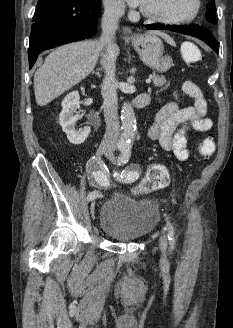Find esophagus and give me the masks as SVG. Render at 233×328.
I'll return each instance as SVG.
<instances>
[{
	"mask_svg": "<svg viewBox=\"0 0 233 328\" xmlns=\"http://www.w3.org/2000/svg\"><path fill=\"white\" fill-rule=\"evenodd\" d=\"M123 32L125 35H127L130 38H135L137 36V34L135 32H133L130 28H127V27L123 28Z\"/></svg>",
	"mask_w": 233,
	"mask_h": 328,
	"instance_id": "34e87169",
	"label": "esophagus"
}]
</instances>
